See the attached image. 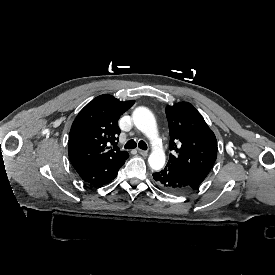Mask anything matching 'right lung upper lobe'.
I'll return each mask as SVG.
<instances>
[{
  "label": "right lung upper lobe",
  "instance_id": "1",
  "mask_svg": "<svg viewBox=\"0 0 275 275\" xmlns=\"http://www.w3.org/2000/svg\"><path fill=\"white\" fill-rule=\"evenodd\" d=\"M134 102H121L105 94L94 98L79 112L70 130L68 146L69 159L76 170L128 157L115 143L120 134L117 121Z\"/></svg>",
  "mask_w": 275,
  "mask_h": 275
}]
</instances>
